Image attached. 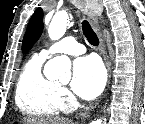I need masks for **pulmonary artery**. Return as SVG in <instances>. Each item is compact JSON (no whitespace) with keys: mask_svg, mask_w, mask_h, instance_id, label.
Listing matches in <instances>:
<instances>
[{"mask_svg":"<svg viewBox=\"0 0 145 124\" xmlns=\"http://www.w3.org/2000/svg\"><path fill=\"white\" fill-rule=\"evenodd\" d=\"M85 52V48L82 44L77 42L72 37H66L59 42L51 45L50 47L43 49L40 55L44 58H49L54 54L63 53L69 55H80Z\"/></svg>","mask_w":145,"mask_h":124,"instance_id":"pulmonary-artery-1","label":"pulmonary artery"}]
</instances>
